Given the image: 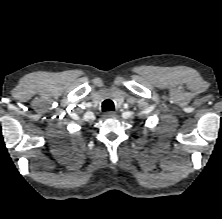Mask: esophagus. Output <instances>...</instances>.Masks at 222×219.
Listing matches in <instances>:
<instances>
[{
  "instance_id": "34e87169",
  "label": "esophagus",
  "mask_w": 222,
  "mask_h": 219,
  "mask_svg": "<svg viewBox=\"0 0 222 219\" xmlns=\"http://www.w3.org/2000/svg\"><path fill=\"white\" fill-rule=\"evenodd\" d=\"M114 116H115V112H113V111H108L104 115L105 118H111V117H114Z\"/></svg>"
}]
</instances>
